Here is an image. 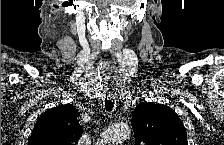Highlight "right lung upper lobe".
<instances>
[{"instance_id":"cb5924a9","label":"right lung upper lobe","mask_w":224,"mask_h":145,"mask_svg":"<svg viewBox=\"0 0 224 145\" xmlns=\"http://www.w3.org/2000/svg\"><path fill=\"white\" fill-rule=\"evenodd\" d=\"M77 110L72 104L49 109L37 120L29 145H73L82 135L77 121Z\"/></svg>"}]
</instances>
